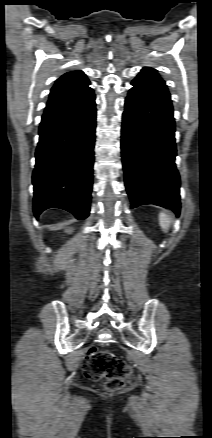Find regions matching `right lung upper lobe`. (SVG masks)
I'll return each instance as SVG.
<instances>
[{
    "label": "right lung upper lobe",
    "mask_w": 212,
    "mask_h": 438,
    "mask_svg": "<svg viewBox=\"0 0 212 438\" xmlns=\"http://www.w3.org/2000/svg\"><path fill=\"white\" fill-rule=\"evenodd\" d=\"M90 81L82 71H71L61 76L50 92L47 106L82 100L93 94Z\"/></svg>",
    "instance_id": "right-lung-upper-lobe-1"
}]
</instances>
